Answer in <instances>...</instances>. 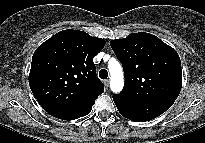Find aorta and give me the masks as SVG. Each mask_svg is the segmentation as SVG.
<instances>
[{
    "mask_svg": "<svg viewBox=\"0 0 205 143\" xmlns=\"http://www.w3.org/2000/svg\"><path fill=\"white\" fill-rule=\"evenodd\" d=\"M108 69L111 76L110 89L114 93H120L124 86V75L122 66L115 58H111L108 62Z\"/></svg>",
    "mask_w": 205,
    "mask_h": 143,
    "instance_id": "aorta-1",
    "label": "aorta"
}]
</instances>
